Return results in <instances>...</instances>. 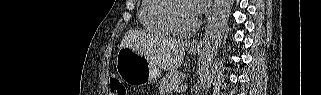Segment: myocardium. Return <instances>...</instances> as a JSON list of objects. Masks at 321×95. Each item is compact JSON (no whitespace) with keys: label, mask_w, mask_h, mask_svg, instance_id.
<instances>
[{"label":"myocardium","mask_w":321,"mask_h":95,"mask_svg":"<svg viewBox=\"0 0 321 95\" xmlns=\"http://www.w3.org/2000/svg\"><path fill=\"white\" fill-rule=\"evenodd\" d=\"M178 4H186L187 6H189L187 1L185 0H167L166 4L163 6L161 10V19L173 34L178 36H187L194 33L199 28L200 21L198 17H195V21L190 28H179L172 18V12L174 10V7Z\"/></svg>","instance_id":"1"}]
</instances>
